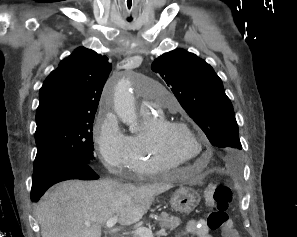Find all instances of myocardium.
I'll list each match as a JSON object with an SVG mask.
<instances>
[{
	"mask_svg": "<svg viewBox=\"0 0 297 237\" xmlns=\"http://www.w3.org/2000/svg\"><path fill=\"white\" fill-rule=\"evenodd\" d=\"M174 129H184L186 130L190 135H192L197 143L199 144V153L197 154L196 158H199L204 150L205 146L203 143V140L199 136V134L191 127L190 124L184 121L180 120H167L163 119L159 121L156 125L152 127V129L149 132V138L151 141V144L155 150V152L163 159L170 160L173 162H176L178 164H186L190 163L196 160L195 157H181L178 154L171 151L164 142L165 134Z\"/></svg>",
	"mask_w": 297,
	"mask_h": 237,
	"instance_id": "f54148a6",
	"label": "myocardium"
}]
</instances>
